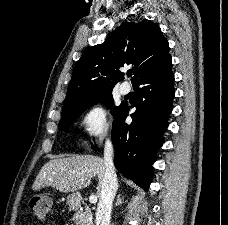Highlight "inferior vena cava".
Instances as JSON below:
<instances>
[{"mask_svg":"<svg viewBox=\"0 0 228 225\" xmlns=\"http://www.w3.org/2000/svg\"><path fill=\"white\" fill-rule=\"evenodd\" d=\"M104 161L105 173L100 183L96 225H110L113 201L118 189V181L113 165V147L111 141H106L105 143Z\"/></svg>","mask_w":228,"mask_h":225,"instance_id":"1","label":"inferior vena cava"}]
</instances>
